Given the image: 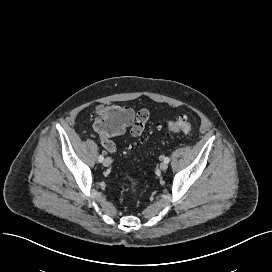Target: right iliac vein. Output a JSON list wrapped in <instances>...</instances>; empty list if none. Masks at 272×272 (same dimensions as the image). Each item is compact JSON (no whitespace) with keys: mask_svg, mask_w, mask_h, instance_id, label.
Wrapping results in <instances>:
<instances>
[{"mask_svg":"<svg viewBox=\"0 0 272 272\" xmlns=\"http://www.w3.org/2000/svg\"><path fill=\"white\" fill-rule=\"evenodd\" d=\"M111 162H112L111 159L109 157H106L105 160L103 161V165L105 167H108L110 166Z\"/></svg>","mask_w":272,"mask_h":272,"instance_id":"1","label":"right iliac vein"}]
</instances>
